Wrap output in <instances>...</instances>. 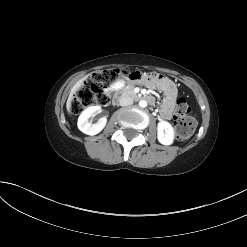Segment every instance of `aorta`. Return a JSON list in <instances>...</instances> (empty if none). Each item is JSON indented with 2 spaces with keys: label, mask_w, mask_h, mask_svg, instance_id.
<instances>
[{
  "label": "aorta",
  "mask_w": 247,
  "mask_h": 247,
  "mask_svg": "<svg viewBox=\"0 0 247 247\" xmlns=\"http://www.w3.org/2000/svg\"><path fill=\"white\" fill-rule=\"evenodd\" d=\"M139 106H140L141 108L147 107V101H146V100H140V101H139Z\"/></svg>",
  "instance_id": "1"
}]
</instances>
